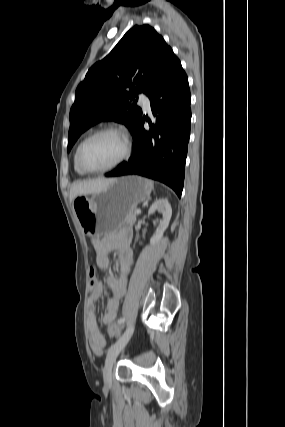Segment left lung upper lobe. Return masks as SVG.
<instances>
[{"instance_id": "5c2ea615", "label": "left lung upper lobe", "mask_w": 285, "mask_h": 427, "mask_svg": "<svg viewBox=\"0 0 285 427\" xmlns=\"http://www.w3.org/2000/svg\"><path fill=\"white\" fill-rule=\"evenodd\" d=\"M171 51L154 28L135 25L95 63L76 89L68 152L85 130L103 120L123 123L133 133L142 116L134 99L138 93L146 94Z\"/></svg>"}]
</instances>
